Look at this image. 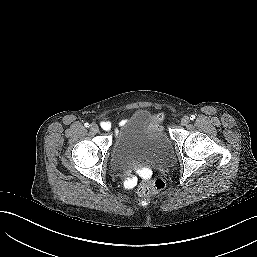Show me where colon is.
<instances>
[{
  "instance_id": "obj_1",
  "label": "colon",
  "mask_w": 257,
  "mask_h": 257,
  "mask_svg": "<svg viewBox=\"0 0 257 257\" xmlns=\"http://www.w3.org/2000/svg\"><path fill=\"white\" fill-rule=\"evenodd\" d=\"M155 121L160 126L163 120L162 114H156L154 116ZM165 188V182L162 179H146L142 181L138 186V194L140 196H149L153 193L162 191Z\"/></svg>"
}]
</instances>
